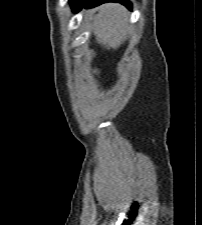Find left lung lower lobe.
Here are the masks:
<instances>
[{
    "mask_svg": "<svg viewBox=\"0 0 202 225\" xmlns=\"http://www.w3.org/2000/svg\"><path fill=\"white\" fill-rule=\"evenodd\" d=\"M106 2H119L130 9L132 7L129 0H77L73 6V11H78L82 7L92 8Z\"/></svg>",
    "mask_w": 202,
    "mask_h": 225,
    "instance_id": "left-lung-lower-lobe-1",
    "label": "left lung lower lobe"
}]
</instances>
